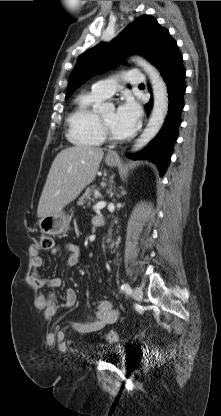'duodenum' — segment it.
<instances>
[{"label": "duodenum", "instance_id": "duodenum-1", "mask_svg": "<svg viewBox=\"0 0 221 416\" xmlns=\"http://www.w3.org/2000/svg\"><path fill=\"white\" fill-rule=\"evenodd\" d=\"M103 224H104V218L103 217H97L96 226L101 227Z\"/></svg>", "mask_w": 221, "mask_h": 416}]
</instances>
